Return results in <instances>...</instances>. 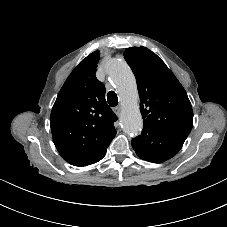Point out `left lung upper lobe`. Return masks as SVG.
I'll list each match as a JSON object with an SVG mask.
<instances>
[{"instance_id":"obj_1","label":"left lung upper lobe","mask_w":227,"mask_h":227,"mask_svg":"<svg viewBox=\"0 0 227 227\" xmlns=\"http://www.w3.org/2000/svg\"><path fill=\"white\" fill-rule=\"evenodd\" d=\"M124 57L136 77L143 127L184 142L193 126V110L183 86L148 48H127Z\"/></svg>"}]
</instances>
